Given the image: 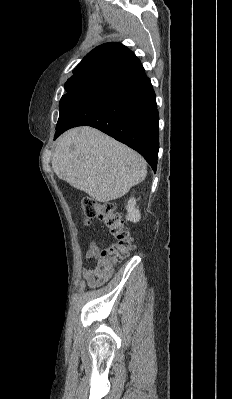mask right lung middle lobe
I'll return each mask as SVG.
<instances>
[{"instance_id":"right-lung-middle-lobe-1","label":"right lung middle lobe","mask_w":232,"mask_h":399,"mask_svg":"<svg viewBox=\"0 0 232 399\" xmlns=\"http://www.w3.org/2000/svg\"><path fill=\"white\" fill-rule=\"evenodd\" d=\"M102 80L98 79H76L67 81L65 84L66 94L60 100V109L68 102L76 99L86 90L100 83Z\"/></svg>"}]
</instances>
